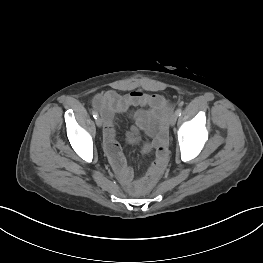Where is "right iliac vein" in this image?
<instances>
[{"label":"right iliac vein","mask_w":263,"mask_h":263,"mask_svg":"<svg viewBox=\"0 0 263 263\" xmlns=\"http://www.w3.org/2000/svg\"><path fill=\"white\" fill-rule=\"evenodd\" d=\"M96 125H97L98 127H101V126L103 125V120H102L100 117H98V118L96 119Z\"/></svg>","instance_id":"right-iliac-vein-1"}]
</instances>
